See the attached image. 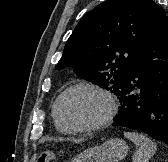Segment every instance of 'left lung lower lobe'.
<instances>
[{"label":"left lung lower lobe","instance_id":"1","mask_svg":"<svg viewBox=\"0 0 168 162\" xmlns=\"http://www.w3.org/2000/svg\"><path fill=\"white\" fill-rule=\"evenodd\" d=\"M115 94L121 106L113 126L138 130L168 144V19Z\"/></svg>","mask_w":168,"mask_h":162}]
</instances>
